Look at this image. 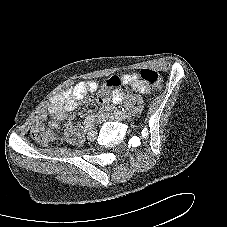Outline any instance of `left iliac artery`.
Wrapping results in <instances>:
<instances>
[{
	"instance_id": "1",
	"label": "left iliac artery",
	"mask_w": 227,
	"mask_h": 227,
	"mask_svg": "<svg viewBox=\"0 0 227 227\" xmlns=\"http://www.w3.org/2000/svg\"><path fill=\"white\" fill-rule=\"evenodd\" d=\"M115 113L116 114H127V111L124 108H122L121 111H115Z\"/></svg>"
}]
</instances>
